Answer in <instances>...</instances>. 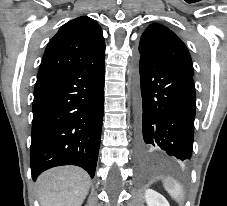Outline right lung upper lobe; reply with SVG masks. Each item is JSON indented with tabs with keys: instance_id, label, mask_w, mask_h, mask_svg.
Instances as JSON below:
<instances>
[{
	"instance_id": "obj_1",
	"label": "right lung upper lobe",
	"mask_w": 227,
	"mask_h": 206,
	"mask_svg": "<svg viewBox=\"0 0 227 206\" xmlns=\"http://www.w3.org/2000/svg\"><path fill=\"white\" fill-rule=\"evenodd\" d=\"M105 59V41L99 24L82 16L64 24L48 43L37 80Z\"/></svg>"
}]
</instances>
